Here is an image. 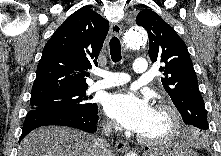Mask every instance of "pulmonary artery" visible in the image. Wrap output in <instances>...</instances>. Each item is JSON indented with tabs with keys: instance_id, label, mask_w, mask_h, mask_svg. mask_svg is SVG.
<instances>
[{
	"instance_id": "e3ab8cb5",
	"label": "pulmonary artery",
	"mask_w": 221,
	"mask_h": 156,
	"mask_svg": "<svg viewBox=\"0 0 221 156\" xmlns=\"http://www.w3.org/2000/svg\"><path fill=\"white\" fill-rule=\"evenodd\" d=\"M147 69L146 59L142 57L135 59L133 71L136 74H144L147 72ZM98 75L101 76L102 79L92 84L91 90L93 91L123 85L130 80L128 74L121 72L100 71Z\"/></svg>"
}]
</instances>
